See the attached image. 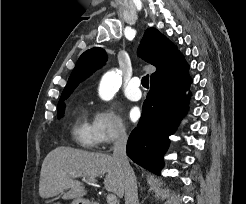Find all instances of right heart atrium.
<instances>
[{
	"instance_id": "right-heart-atrium-1",
	"label": "right heart atrium",
	"mask_w": 246,
	"mask_h": 204,
	"mask_svg": "<svg viewBox=\"0 0 246 204\" xmlns=\"http://www.w3.org/2000/svg\"><path fill=\"white\" fill-rule=\"evenodd\" d=\"M93 127L97 144L109 146L125 140L128 128L121 116L110 106H102L93 115Z\"/></svg>"
}]
</instances>
